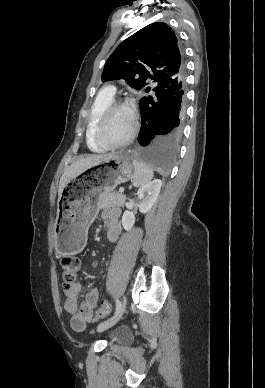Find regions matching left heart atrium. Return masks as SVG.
Returning <instances> with one entry per match:
<instances>
[{"instance_id": "left-heart-atrium-1", "label": "left heart atrium", "mask_w": 265, "mask_h": 388, "mask_svg": "<svg viewBox=\"0 0 265 388\" xmlns=\"http://www.w3.org/2000/svg\"><path fill=\"white\" fill-rule=\"evenodd\" d=\"M136 114V109L134 107H132L130 110H129V115L131 118H133Z\"/></svg>"}]
</instances>
